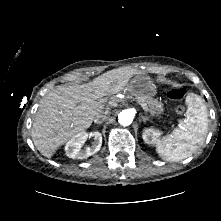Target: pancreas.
<instances>
[{"mask_svg":"<svg viewBox=\"0 0 221 221\" xmlns=\"http://www.w3.org/2000/svg\"><path fill=\"white\" fill-rule=\"evenodd\" d=\"M135 99H137V101L145 103L148 106L149 112L153 116H159L164 111L162 102L152 98L149 95H137Z\"/></svg>","mask_w":221,"mask_h":221,"instance_id":"obj_1","label":"pancreas"}]
</instances>
